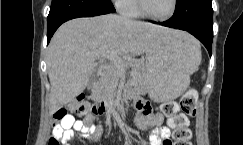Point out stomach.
Returning <instances> with one entry per match:
<instances>
[{"label":"stomach","mask_w":243,"mask_h":145,"mask_svg":"<svg viewBox=\"0 0 243 145\" xmlns=\"http://www.w3.org/2000/svg\"><path fill=\"white\" fill-rule=\"evenodd\" d=\"M200 45L193 37L172 34L156 37L146 52V80L150 95L159 102L176 99L186 91L197 68Z\"/></svg>","instance_id":"stomach-1"}]
</instances>
